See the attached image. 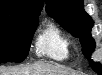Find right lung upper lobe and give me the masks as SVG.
Segmentation results:
<instances>
[{
    "mask_svg": "<svg viewBox=\"0 0 102 75\" xmlns=\"http://www.w3.org/2000/svg\"><path fill=\"white\" fill-rule=\"evenodd\" d=\"M44 0H0V12L39 16Z\"/></svg>",
    "mask_w": 102,
    "mask_h": 75,
    "instance_id": "cb5924a9",
    "label": "right lung upper lobe"
}]
</instances>
